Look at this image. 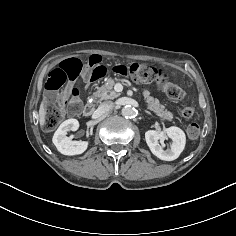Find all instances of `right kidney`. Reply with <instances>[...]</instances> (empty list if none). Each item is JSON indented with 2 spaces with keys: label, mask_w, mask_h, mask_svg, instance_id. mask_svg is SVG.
<instances>
[{
  "label": "right kidney",
  "mask_w": 236,
  "mask_h": 236,
  "mask_svg": "<svg viewBox=\"0 0 236 236\" xmlns=\"http://www.w3.org/2000/svg\"><path fill=\"white\" fill-rule=\"evenodd\" d=\"M78 128L79 122L77 119H68L56 130L52 141L60 153L73 156L82 154L87 149L88 141H73L66 136L69 131H76Z\"/></svg>",
  "instance_id": "right-kidney-1"
}]
</instances>
